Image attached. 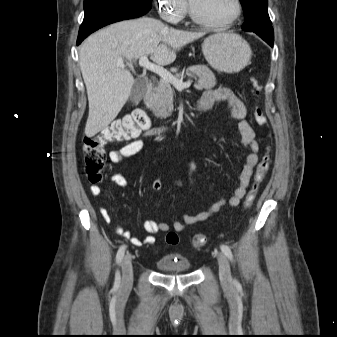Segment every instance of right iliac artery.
<instances>
[{"label": "right iliac artery", "mask_w": 337, "mask_h": 337, "mask_svg": "<svg viewBox=\"0 0 337 337\" xmlns=\"http://www.w3.org/2000/svg\"><path fill=\"white\" fill-rule=\"evenodd\" d=\"M126 246L123 245L119 248L117 255H116V262L117 264L121 263V260L123 259L124 253H125ZM120 283V273L119 271L116 272L115 276V287H118Z\"/></svg>", "instance_id": "1"}]
</instances>
